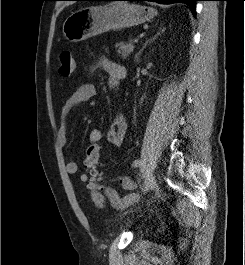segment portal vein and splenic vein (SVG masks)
Returning a JSON list of instances; mask_svg holds the SVG:
<instances>
[{
	"label": "portal vein and splenic vein",
	"instance_id": "portal-vein-and-splenic-vein-1",
	"mask_svg": "<svg viewBox=\"0 0 245 265\" xmlns=\"http://www.w3.org/2000/svg\"><path fill=\"white\" fill-rule=\"evenodd\" d=\"M134 43H138V39H135V40H134Z\"/></svg>",
	"mask_w": 245,
	"mask_h": 265
}]
</instances>
